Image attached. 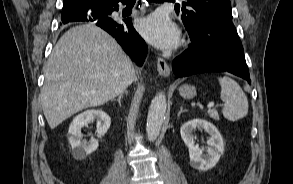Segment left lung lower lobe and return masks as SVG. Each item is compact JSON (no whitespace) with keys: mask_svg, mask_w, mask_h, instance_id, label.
Segmentation results:
<instances>
[{"mask_svg":"<svg viewBox=\"0 0 293 184\" xmlns=\"http://www.w3.org/2000/svg\"><path fill=\"white\" fill-rule=\"evenodd\" d=\"M221 21L218 24L214 18H207L197 25L184 23L192 43L173 61L176 76L227 71L250 83L242 43L232 20L223 18Z\"/></svg>","mask_w":293,"mask_h":184,"instance_id":"1","label":"left lung lower lobe"}]
</instances>
